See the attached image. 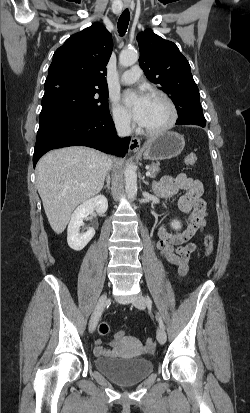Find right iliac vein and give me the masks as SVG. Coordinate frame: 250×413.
I'll return each instance as SVG.
<instances>
[{"mask_svg": "<svg viewBox=\"0 0 250 413\" xmlns=\"http://www.w3.org/2000/svg\"><path fill=\"white\" fill-rule=\"evenodd\" d=\"M108 303V297L106 294L102 295L100 299L98 300V303L94 309V312L91 316L90 322H89V331L93 332L98 324V321L102 315V312Z\"/></svg>", "mask_w": 250, "mask_h": 413, "instance_id": "right-iliac-vein-1", "label": "right iliac vein"}]
</instances>
